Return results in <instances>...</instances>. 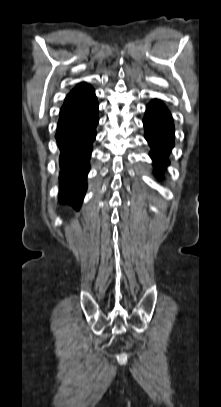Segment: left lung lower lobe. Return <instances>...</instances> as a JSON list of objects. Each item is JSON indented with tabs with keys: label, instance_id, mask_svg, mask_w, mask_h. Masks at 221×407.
Segmentation results:
<instances>
[{
	"label": "left lung lower lobe",
	"instance_id": "0a47b994",
	"mask_svg": "<svg viewBox=\"0 0 221 407\" xmlns=\"http://www.w3.org/2000/svg\"><path fill=\"white\" fill-rule=\"evenodd\" d=\"M143 124L145 138L152 149L150 156L158 174L169 165L168 154L174 147L173 120L165 105L154 100L147 105Z\"/></svg>",
	"mask_w": 221,
	"mask_h": 407
}]
</instances>
